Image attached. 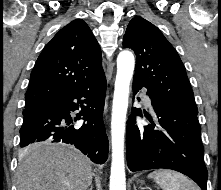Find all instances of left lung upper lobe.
<instances>
[{
	"label": "left lung upper lobe",
	"mask_w": 221,
	"mask_h": 190,
	"mask_svg": "<svg viewBox=\"0 0 221 190\" xmlns=\"http://www.w3.org/2000/svg\"><path fill=\"white\" fill-rule=\"evenodd\" d=\"M123 46L133 49L136 54L134 79L166 104L198 114L185 67L157 27L142 17H134L127 26Z\"/></svg>",
	"instance_id": "obj_1"
}]
</instances>
